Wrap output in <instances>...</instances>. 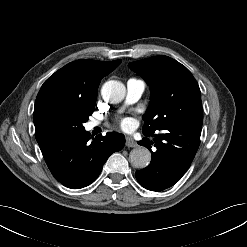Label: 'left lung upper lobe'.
<instances>
[{
    "label": "left lung upper lobe",
    "mask_w": 247,
    "mask_h": 247,
    "mask_svg": "<svg viewBox=\"0 0 247 247\" xmlns=\"http://www.w3.org/2000/svg\"><path fill=\"white\" fill-rule=\"evenodd\" d=\"M131 70L148 83L150 106L143 116V134L186 122L202 126L200 89L191 72L176 60L160 55L129 63Z\"/></svg>",
    "instance_id": "obj_1"
}]
</instances>
